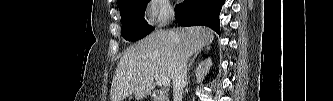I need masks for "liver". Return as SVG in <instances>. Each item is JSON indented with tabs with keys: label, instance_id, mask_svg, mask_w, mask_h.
<instances>
[{
	"label": "liver",
	"instance_id": "obj_1",
	"mask_svg": "<svg viewBox=\"0 0 333 101\" xmlns=\"http://www.w3.org/2000/svg\"><path fill=\"white\" fill-rule=\"evenodd\" d=\"M213 31L202 26L157 30L131 46L120 59L111 84V101L135 94L137 100L155 87V75L174 79L182 57L186 60L208 46Z\"/></svg>",
	"mask_w": 333,
	"mask_h": 101
}]
</instances>
